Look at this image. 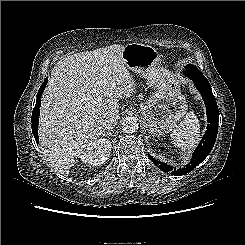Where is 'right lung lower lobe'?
Returning a JSON list of instances; mask_svg holds the SVG:
<instances>
[{
	"label": "right lung lower lobe",
	"mask_w": 245,
	"mask_h": 245,
	"mask_svg": "<svg viewBox=\"0 0 245 245\" xmlns=\"http://www.w3.org/2000/svg\"><path fill=\"white\" fill-rule=\"evenodd\" d=\"M47 79V78H46ZM45 79V80H46ZM47 82V81H46ZM47 84V83H46ZM46 84H43L39 91H38V94H37V100H36V105L33 109V112H32V118H31V123H32V132H33V135L35 137V140L36 142L38 143L39 142V139H38V123H39V114H40V98H41V95L45 89V86Z\"/></svg>",
	"instance_id": "1"
}]
</instances>
